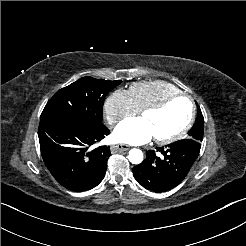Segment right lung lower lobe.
Instances as JSON below:
<instances>
[{"label": "right lung lower lobe", "instance_id": "1", "mask_svg": "<svg viewBox=\"0 0 246 246\" xmlns=\"http://www.w3.org/2000/svg\"><path fill=\"white\" fill-rule=\"evenodd\" d=\"M109 133L102 122L42 120L38 137L45 165L65 188L76 192L90 190L104 178L110 156L108 146H91Z\"/></svg>", "mask_w": 246, "mask_h": 246}]
</instances>
